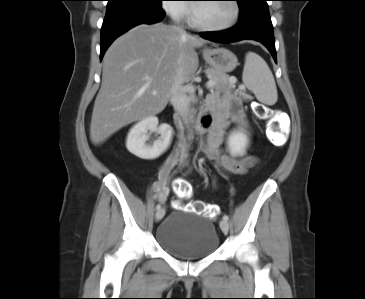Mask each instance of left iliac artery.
<instances>
[{
    "instance_id": "left-iliac-artery-1",
    "label": "left iliac artery",
    "mask_w": 365,
    "mask_h": 299,
    "mask_svg": "<svg viewBox=\"0 0 365 299\" xmlns=\"http://www.w3.org/2000/svg\"><path fill=\"white\" fill-rule=\"evenodd\" d=\"M223 220L228 221V220H229V217L225 214V215L223 216Z\"/></svg>"
}]
</instances>
